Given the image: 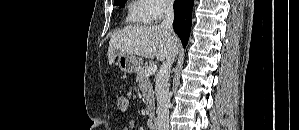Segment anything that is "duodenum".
<instances>
[{
    "label": "duodenum",
    "instance_id": "duodenum-1",
    "mask_svg": "<svg viewBox=\"0 0 299 130\" xmlns=\"http://www.w3.org/2000/svg\"><path fill=\"white\" fill-rule=\"evenodd\" d=\"M147 123H148V127L151 129V130H158V118L156 116H150L148 117V120H147Z\"/></svg>",
    "mask_w": 299,
    "mask_h": 130
}]
</instances>
